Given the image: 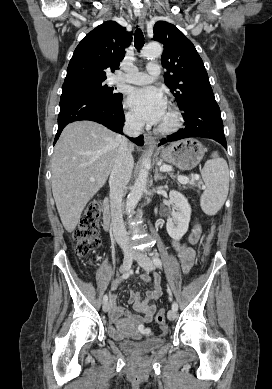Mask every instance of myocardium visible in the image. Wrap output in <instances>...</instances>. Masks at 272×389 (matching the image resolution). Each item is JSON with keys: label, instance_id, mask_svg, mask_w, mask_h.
<instances>
[{"label": "myocardium", "instance_id": "1", "mask_svg": "<svg viewBox=\"0 0 272 389\" xmlns=\"http://www.w3.org/2000/svg\"><path fill=\"white\" fill-rule=\"evenodd\" d=\"M170 120L166 124H161L156 131L162 134H170L177 131L183 122V117L178 108L171 106L168 109Z\"/></svg>", "mask_w": 272, "mask_h": 389}]
</instances>
